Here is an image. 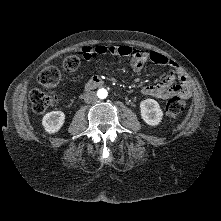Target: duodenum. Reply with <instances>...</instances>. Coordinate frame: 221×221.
I'll list each match as a JSON object with an SVG mask.
<instances>
[{
  "instance_id": "obj_1",
  "label": "duodenum",
  "mask_w": 221,
  "mask_h": 221,
  "mask_svg": "<svg viewBox=\"0 0 221 221\" xmlns=\"http://www.w3.org/2000/svg\"><path fill=\"white\" fill-rule=\"evenodd\" d=\"M105 85V81L99 76H93L89 81L86 83V90H91L94 88L102 87Z\"/></svg>"
}]
</instances>
